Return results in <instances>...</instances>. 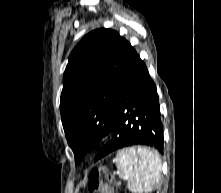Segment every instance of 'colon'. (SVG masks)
Segmentation results:
<instances>
[{"instance_id":"colon-1","label":"colon","mask_w":221,"mask_h":193,"mask_svg":"<svg viewBox=\"0 0 221 193\" xmlns=\"http://www.w3.org/2000/svg\"><path fill=\"white\" fill-rule=\"evenodd\" d=\"M104 175L108 181L113 180L112 174L103 167H96L91 170L87 178V189L89 192L94 193L100 191L102 187L101 176Z\"/></svg>"}]
</instances>
